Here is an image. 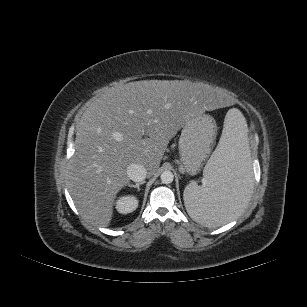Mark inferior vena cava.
Segmentation results:
<instances>
[{
    "label": "inferior vena cava",
    "instance_id": "obj_1",
    "mask_svg": "<svg viewBox=\"0 0 307 307\" xmlns=\"http://www.w3.org/2000/svg\"><path fill=\"white\" fill-rule=\"evenodd\" d=\"M127 175L134 182H142L146 178V168L138 163H132L127 167Z\"/></svg>",
    "mask_w": 307,
    "mask_h": 307
}]
</instances>
